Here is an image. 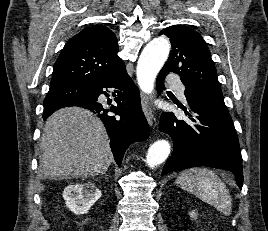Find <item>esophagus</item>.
I'll use <instances>...</instances> for the list:
<instances>
[{
	"instance_id": "34e87169",
	"label": "esophagus",
	"mask_w": 268,
	"mask_h": 231,
	"mask_svg": "<svg viewBox=\"0 0 268 231\" xmlns=\"http://www.w3.org/2000/svg\"><path fill=\"white\" fill-rule=\"evenodd\" d=\"M141 102H142L143 111L147 119V122L150 126H152L155 120V117H154V111L151 105L150 98L144 94H141Z\"/></svg>"
}]
</instances>
